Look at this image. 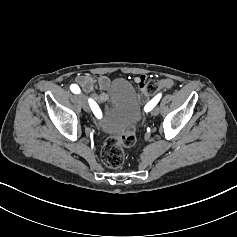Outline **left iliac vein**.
I'll list each match as a JSON object with an SVG mask.
<instances>
[{
	"instance_id": "obj_1",
	"label": "left iliac vein",
	"mask_w": 237,
	"mask_h": 237,
	"mask_svg": "<svg viewBox=\"0 0 237 237\" xmlns=\"http://www.w3.org/2000/svg\"><path fill=\"white\" fill-rule=\"evenodd\" d=\"M159 111H160L159 107H155V108L152 110V114H153V115H158V114H159Z\"/></svg>"
}]
</instances>
